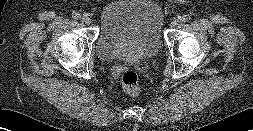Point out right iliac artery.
I'll list each match as a JSON object with an SVG mask.
<instances>
[{"mask_svg":"<svg viewBox=\"0 0 253 131\" xmlns=\"http://www.w3.org/2000/svg\"><path fill=\"white\" fill-rule=\"evenodd\" d=\"M72 17H73L74 19H80V18H81V15H80L78 12H73V13H72Z\"/></svg>","mask_w":253,"mask_h":131,"instance_id":"right-iliac-artery-1","label":"right iliac artery"}]
</instances>
